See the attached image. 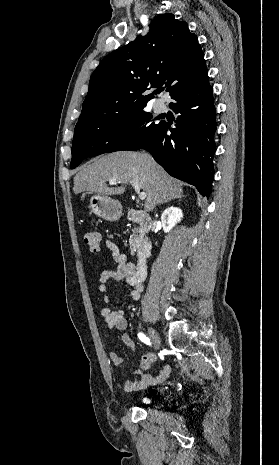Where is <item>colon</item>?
Wrapping results in <instances>:
<instances>
[{
  "label": "colon",
  "mask_w": 279,
  "mask_h": 465,
  "mask_svg": "<svg viewBox=\"0 0 279 465\" xmlns=\"http://www.w3.org/2000/svg\"><path fill=\"white\" fill-rule=\"evenodd\" d=\"M84 242L92 253H98L101 248V236L96 231L86 233Z\"/></svg>",
  "instance_id": "colon-1"
}]
</instances>
